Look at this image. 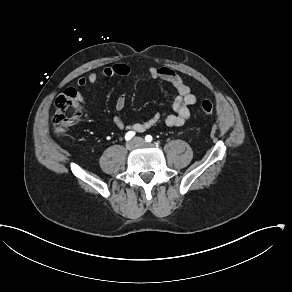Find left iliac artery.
Masks as SVG:
<instances>
[{
    "instance_id": "left-iliac-artery-1",
    "label": "left iliac artery",
    "mask_w": 292,
    "mask_h": 292,
    "mask_svg": "<svg viewBox=\"0 0 292 292\" xmlns=\"http://www.w3.org/2000/svg\"><path fill=\"white\" fill-rule=\"evenodd\" d=\"M152 136L151 135H146V137H145V140L147 141V142H151L152 141Z\"/></svg>"
}]
</instances>
